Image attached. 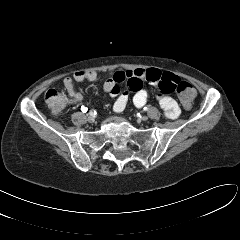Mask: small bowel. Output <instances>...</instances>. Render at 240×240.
<instances>
[{
    "instance_id": "small-bowel-1",
    "label": "small bowel",
    "mask_w": 240,
    "mask_h": 240,
    "mask_svg": "<svg viewBox=\"0 0 240 240\" xmlns=\"http://www.w3.org/2000/svg\"><path fill=\"white\" fill-rule=\"evenodd\" d=\"M99 75L92 70L76 71L72 76L63 79L65 90L70 96L71 102L82 101L83 95L75 89L74 82H96ZM181 81L178 76L171 72H163L156 68L120 70L111 74L103 83V90L112 97H116L113 110L116 113L122 112L129 100V94H133V104L140 108L145 105L148 93L143 88L144 83H149L157 87L156 97L164 112L169 119H175L180 114V108L176 100L170 93L175 89L177 83ZM125 84V89H122Z\"/></svg>"
}]
</instances>
